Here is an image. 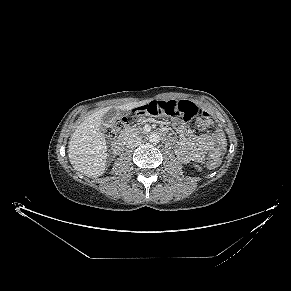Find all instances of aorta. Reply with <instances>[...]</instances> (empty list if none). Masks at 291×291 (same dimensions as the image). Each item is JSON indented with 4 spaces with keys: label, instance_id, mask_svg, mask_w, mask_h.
Wrapping results in <instances>:
<instances>
[{
    "label": "aorta",
    "instance_id": "1",
    "mask_svg": "<svg viewBox=\"0 0 291 291\" xmlns=\"http://www.w3.org/2000/svg\"><path fill=\"white\" fill-rule=\"evenodd\" d=\"M159 140H160V137L158 134H151L149 136V142L151 144H158L159 143Z\"/></svg>",
    "mask_w": 291,
    "mask_h": 291
}]
</instances>
